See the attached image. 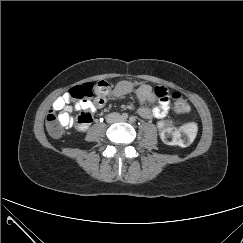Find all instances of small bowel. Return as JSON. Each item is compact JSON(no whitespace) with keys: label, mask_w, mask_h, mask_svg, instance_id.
<instances>
[{"label":"small bowel","mask_w":243,"mask_h":243,"mask_svg":"<svg viewBox=\"0 0 243 243\" xmlns=\"http://www.w3.org/2000/svg\"><path fill=\"white\" fill-rule=\"evenodd\" d=\"M133 88L136 89V94L140 102V107L138 109V114L143 118H156L162 119L166 117L169 111V99L160 100L158 106L153 108H148L146 103H153L158 98L155 95L153 89L150 85L141 83L135 86L133 83L128 81L119 82L114 89L111 91L114 96H122L131 91ZM110 93V91H109ZM108 93V94H109ZM97 95L93 101L78 100L74 105H71V98L68 93L63 94L58 97L53 103V109L56 112H59L58 117L64 127H71L73 124V112L74 111H89L90 113H94L97 109L102 108L106 103L107 95ZM88 127L85 126L80 130H85Z\"/></svg>","instance_id":"c3829d8e"}]
</instances>
